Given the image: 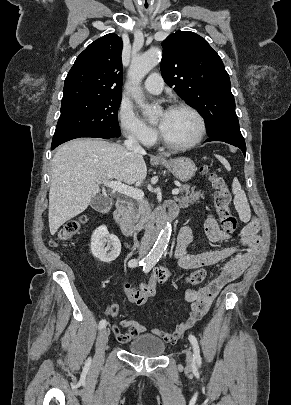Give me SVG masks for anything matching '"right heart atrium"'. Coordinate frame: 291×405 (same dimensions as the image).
Listing matches in <instances>:
<instances>
[{"instance_id": "obj_1", "label": "right heart atrium", "mask_w": 291, "mask_h": 405, "mask_svg": "<svg viewBox=\"0 0 291 405\" xmlns=\"http://www.w3.org/2000/svg\"><path fill=\"white\" fill-rule=\"evenodd\" d=\"M118 119L123 134L143 145H150L156 138V131L144 123L131 108L121 106L118 112Z\"/></svg>"}]
</instances>
